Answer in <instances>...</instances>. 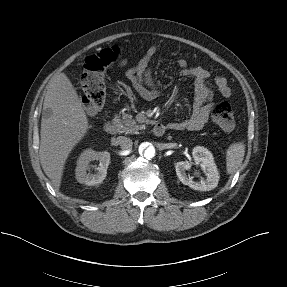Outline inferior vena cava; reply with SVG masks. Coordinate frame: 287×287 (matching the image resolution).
Instances as JSON below:
<instances>
[{
	"label": "inferior vena cava",
	"mask_w": 287,
	"mask_h": 287,
	"mask_svg": "<svg viewBox=\"0 0 287 287\" xmlns=\"http://www.w3.org/2000/svg\"><path fill=\"white\" fill-rule=\"evenodd\" d=\"M116 143H117L122 149H125V150L131 149V148H132V145H133L132 140H131L130 138L125 137V136H119V137H117Z\"/></svg>",
	"instance_id": "inferior-vena-cava-1"
}]
</instances>
